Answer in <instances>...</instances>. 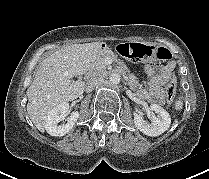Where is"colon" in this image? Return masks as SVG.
Here are the masks:
<instances>
[{"label":"colon","instance_id":"5ec220e1","mask_svg":"<svg viewBox=\"0 0 209 179\" xmlns=\"http://www.w3.org/2000/svg\"><path fill=\"white\" fill-rule=\"evenodd\" d=\"M118 53L132 62H144L149 60H167L169 52L165 48L148 46L142 43H123L117 47ZM176 77L172 75L164 89L165 99L171 104L176 94Z\"/></svg>","mask_w":209,"mask_h":179}]
</instances>
